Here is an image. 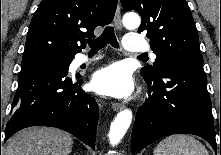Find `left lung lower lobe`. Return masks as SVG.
<instances>
[{"label": "left lung lower lobe", "mask_w": 221, "mask_h": 155, "mask_svg": "<svg viewBox=\"0 0 221 155\" xmlns=\"http://www.w3.org/2000/svg\"><path fill=\"white\" fill-rule=\"evenodd\" d=\"M144 79L149 98L137 111L131 151L178 133L198 135L216 151L211 100L203 64L173 62L157 77L144 76Z\"/></svg>", "instance_id": "obj_1"}]
</instances>
